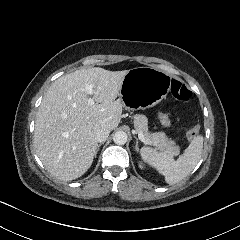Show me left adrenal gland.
Returning a JSON list of instances; mask_svg holds the SVG:
<instances>
[{"mask_svg":"<svg viewBox=\"0 0 240 240\" xmlns=\"http://www.w3.org/2000/svg\"><path fill=\"white\" fill-rule=\"evenodd\" d=\"M133 137L136 139L135 151L139 152L140 151V149H139V139L135 135Z\"/></svg>","mask_w":240,"mask_h":240,"instance_id":"left-adrenal-gland-1","label":"left adrenal gland"}]
</instances>
